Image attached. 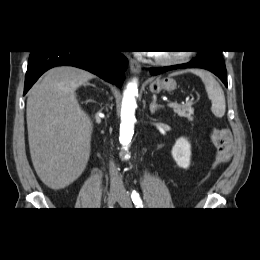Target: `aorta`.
<instances>
[{"instance_id": "aorta-1", "label": "aorta", "mask_w": 260, "mask_h": 260, "mask_svg": "<svg viewBox=\"0 0 260 260\" xmlns=\"http://www.w3.org/2000/svg\"><path fill=\"white\" fill-rule=\"evenodd\" d=\"M138 93L137 80L128 83L122 98L120 142L125 149L128 148L134 134L135 109L137 107L135 96Z\"/></svg>"}]
</instances>
